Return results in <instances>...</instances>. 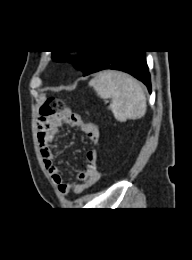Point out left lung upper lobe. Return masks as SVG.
I'll list each match as a JSON object with an SVG mask.
<instances>
[{
  "label": "left lung upper lobe",
  "instance_id": "5c2ea615",
  "mask_svg": "<svg viewBox=\"0 0 192 260\" xmlns=\"http://www.w3.org/2000/svg\"><path fill=\"white\" fill-rule=\"evenodd\" d=\"M68 52L69 51H52V59L57 61H65L69 59L70 62L74 63L77 68H80L83 73H85L91 60L97 53V51H79L81 53V56L79 58H69L67 54Z\"/></svg>",
  "mask_w": 192,
  "mask_h": 260
}]
</instances>
